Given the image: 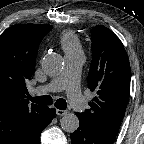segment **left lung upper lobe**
<instances>
[{
  "instance_id": "left-lung-upper-lobe-1",
  "label": "left lung upper lobe",
  "mask_w": 144,
  "mask_h": 144,
  "mask_svg": "<svg viewBox=\"0 0 144 144\" xmlns=\"http://www.w3.org/2000/svg\"><path fill=\"white\" fill-rule=\"evenodd\" d=\"M91 34L93 59L87 82L97 96L89 102L90 109L76 115L99 132L116 136L130 94V63L122 42L111 30L98 25Z\"/></svg>"
}]
</instances>
